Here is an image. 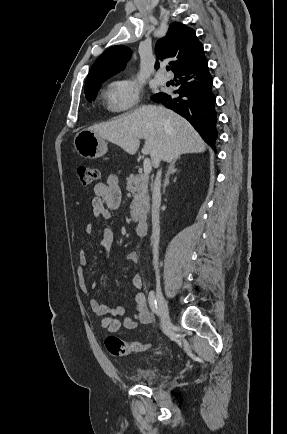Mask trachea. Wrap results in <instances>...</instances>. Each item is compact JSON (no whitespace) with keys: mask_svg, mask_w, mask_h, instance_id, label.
Returning <instances> with one entry per match:
<instances>
[{"mask_svg":"<svg viewBox=\"0 0 287 434\" xmlns=\"http://www.w3.org/2000/svg\"><path fill=\"white\" fill-rule=\"evenodd\" d=\"M166 69H167V71H169L171 68H170V67H167Z\"/></svg>","mask_w":287,"mask_h":434,"instance_id":"3493384b","label":"trachea"}]
</instances>
